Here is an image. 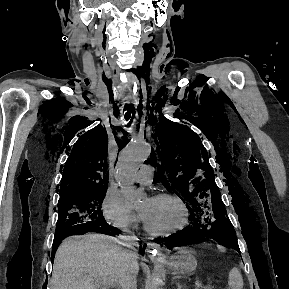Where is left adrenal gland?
<instances>
[{"instance_id":"a2214340","label":"left adrenal gland","mask_w":289,"mask_h":289,"mask_svg":"<svg viewBox=\"0 0 289 289\" xmlns=\"http://www.w3.org/2000/svg\"><path fill=\"white\" fill-rule=\"evenodd\" d=\"M177 289H186L181 283L176 284Z\"/></svg>"}]
</instances>
